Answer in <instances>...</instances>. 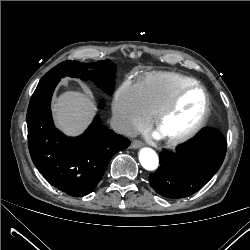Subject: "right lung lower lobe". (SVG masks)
<instances>
[{"label":"right lung lower lobe","instance_id":"1","mask_svg":"<svg viewBox=\"0 0 250 250\" xmlns=\"http://www.w3.org/2000/svg\"><path fill=\"white\" fill-rule=\"evenodd\" d=\"M59 81L39 82L31 97L28 146L33 163L51 185L70 196L82 197L94 190L112 156L130 142L101 125L99 117L79 137L68 138L57 130L50 103Z\"/></svg>","mask_w":250,"mask_h":250}]
</instances>
